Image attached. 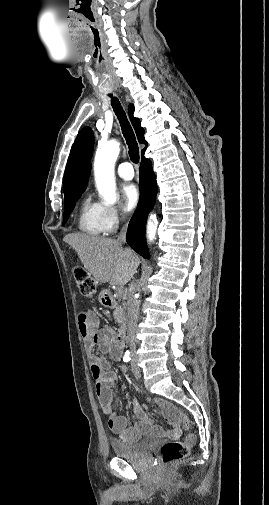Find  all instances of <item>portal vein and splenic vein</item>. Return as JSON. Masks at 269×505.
I'll use <instances>...</instances> for the list:
<instances>
[{
    "label": "portal vein and splenic vein",
    "mask_w": 269,
    "mask_h": 505,
    "mask_svg": "<svg viewBox=\"0 0 269 505\" xmlns=\"http://www.w3.org/2000/svg\"><path fill=\"white\" fill-rule=\"evenodd\" d=\"M117 293H118V294H122V293H123V288H122V287L118 288V289H117Z\"/></svg>",
    "instance_id": "18ae733b"
}]
</instances>
